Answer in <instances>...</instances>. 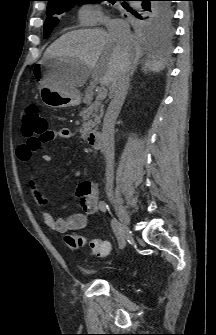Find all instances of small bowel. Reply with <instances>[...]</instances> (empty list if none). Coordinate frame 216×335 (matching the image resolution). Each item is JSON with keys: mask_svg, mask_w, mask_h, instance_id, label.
I'll return each mask as SVG.
<instances>
[{"mask_svg": "<svg viewBox=\"0 0 216 335\" xmlns=\"http://www.w3.org/2000/svg\"><path fill=\"white\" fill-rule=\"evenodd\" d=\"M71 137L72 133L69 129L61 128L58 131H51L50 135L44 143L55 139H70ZM17 154L20 160L28 162L32 157L33 151L28 144H23L18 147ZM42 158L45 162H51L52 160V157L49 154L43 155ZM27 184L29 193L36 206L39 208L45 207L47 202L43 198L39 189L37 174L34 171H30L28 173ZM77 195L79 197L80 206L83 209V213H74L67 216L54 218L49 211L43 210L41 212V218L43 222L51 229L62 234L68 233L72 230H80L85 228L88 224V216L95 215L99 210V191L91 181L86 180L80 183L77 189ZM66 207L67 206H62V208ZM103 242L111 251V243L108 241Z\"/></svg>", "mask_w": 216, "mask_h": 335, "instance_id": "obj_1", "label": "small bowel"}]
</instances>
